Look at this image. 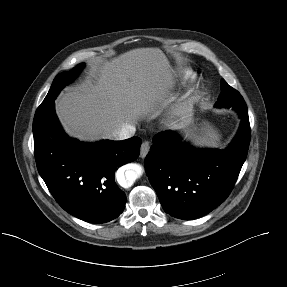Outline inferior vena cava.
Wrapping results in <instances>:
<instances>
[{
  "instance_id": "1",
  "label": "inferior vena cava",
  "mask_w": 287,
  "mask_h": 287,
  "mask_svg": "<svg viewBox=\"0 0 287 287\" xmlns=\"http://www.w3.org/2000/svg\"><path fill=\"white\" fill-rule=\"evenodd\" d=\"M135 130L133 125L125 124L121 128L114 130L111 134V138L114 140L128 139L134 135Z\"/></svg>"
}]
</instances>
